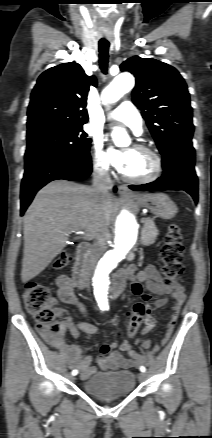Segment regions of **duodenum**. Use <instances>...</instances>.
<instances>
[{
    "instance_id": "1",
    "label": "duodenum",
    "mask_w": 212,
    "mask_h": 438,
    "mask_svg": "<svg viewBox=\"0 0 212 438\" xmlns=\"http://www.w3.org/2000/svg\"><path fill=\"white\" fill-rule=\"evenodd\" d=\"M90 252V244L89 243H81L77 248L76 260L73 268V280L75 285L78 288H83L85 286L86 279V267L88 256ZM123 288V282L119 278H115L113 284L112 295L114 298H117L121 290Z\"/></svg>"
}]
</instances>
